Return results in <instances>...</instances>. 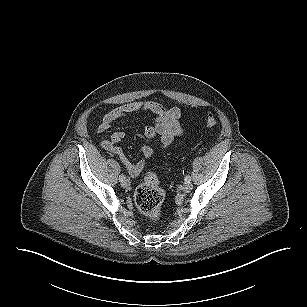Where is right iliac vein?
I'll list each match as a JSON object with an SVG mask.
<instances>
[{"label": "right iliac vein", "instance_id": "right-iliac-vein-1", "mask_svg": "<svg viewBox=\"0 0 307 307\" xmlns=\"http://www.w3.org/2000/svg\"><path fill=\"white\" fill-rule=\"evenodd\" d=\"M121 185L124 187V188H129L130 187V181L128 179H124L122 182H121Z\"/></svg>", "mask_w": 307, "mask_h": 307}]
</instances>
